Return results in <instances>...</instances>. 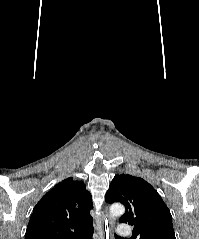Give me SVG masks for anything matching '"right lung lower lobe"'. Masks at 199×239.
<instances>
[{
  "instance_id": "right-lung-lower-lobe-1",
  "label": "right lung lower lobe",
  "mask_w": 199,
  "mask_h": 239,
  "mask_svg": "<svg viewBox=\"0 0 199 239\" xmlns=\"http://www.w3.org/2000/svg\"><path fill=\"white\" fill-rule=\"evenodd\" d=\"M94 229L91 228L89 230L84 231L79 236L75 237L74 239H91Z\"/></svg>"
}]
</instances>
